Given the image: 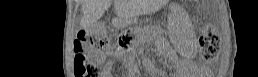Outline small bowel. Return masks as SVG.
I'll use <instances>...</instances> for the list:
<instances>
[{
	"instance_id": "1",
	"label": "small bowel",
	"mask_w": 258,
	"mask_h": 77,
	"mask_svg": "<svg viewBox=\"0 0 258 77\" xmlns=\"http://www.w3.org/2000/svg\"><path fill=\"white\" fill-rule=\"evenodd\" d=\"M89 59L97 64L104 63V56L96 51H91L88 55Z\"/></svg>"
}]
</instances>
